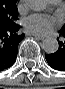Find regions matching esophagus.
Wrapping results in <instances>:
<instances>
[{"mask_svg":"<svg viewBox=\"0 0 65 89\" xmlns=\"http://www.w3.org/2000/svg\"><path fill=\"white\" fill-rule=\"evenodd\" d=\"M30 35H33L34 37H36L37 39L43 40L45 38L44 35H38V34H34V33H30Z\"/></svg>","mask_w":65,"mask_h":89,"instance_id":"obj_1","label":"esophagus"}]
</instances>
